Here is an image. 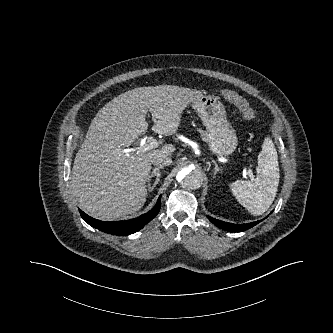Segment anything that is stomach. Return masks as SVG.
I'll return each instance as SVG.
<instances>
[{
    "label": "stomach",
    "mask_w": 333,
    "mask_h": 333,
    "mask_svg": "<svg viewBox=\"0 0 333 333\" xmlns=\"http://www.w3.org/2000/svg\"><path fill=\"white\" fill-rule=\"evenodd\" d=\"M192 106L206 127L203 139L210 151L225 157L232 154L238 144L237 135L227 120L225 107L219 97L202 95L192 102Z\"/></svg>",
    "instance_id": "stomach-1"
}]
</instances>
